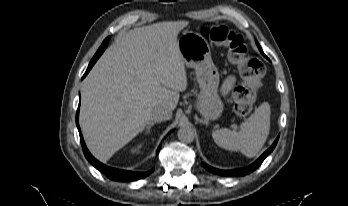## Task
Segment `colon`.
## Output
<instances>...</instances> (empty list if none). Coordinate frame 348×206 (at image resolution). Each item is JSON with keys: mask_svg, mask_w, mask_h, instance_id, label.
<instances>
[{"mask_svg": "<svg viewBox=\"0 0 348 206\" xmlns=\"http://www.w3.org/2000/svg\"><path fill=\"white\" fill-rule=\"evenodd\" d=\"M201 35L216 45L227 48L229 58L238 66L241 83L232 93L234 110L239 116L249 115L256 101V89L265 73L263 62L249 54L243 36L225 26L203 28Z\"/></svg>", "mask_w": 348, "mask_h": 206, "instance_id": "obj_1", "label": "colon"}]
</instances>
